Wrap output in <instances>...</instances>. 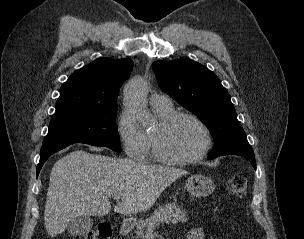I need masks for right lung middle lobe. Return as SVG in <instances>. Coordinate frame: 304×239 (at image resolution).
<instances>
[{
    "label": "right lung middle lobe",
    "instance_id": "1",
    "mask_svg": "<svg viewBox=\"0 0 304 239\" xmlns=\"http://www.w3.org/2000/svg\"><path fill=\"white\" fill-rule=\"evenodd\" d=\"M116 112L117 105L55 112L42 147L85 143L120 152V139L115 123Z\"/></svg>",
    "mask_w": 304,
    "mask_h": 239
}]
</instances>
